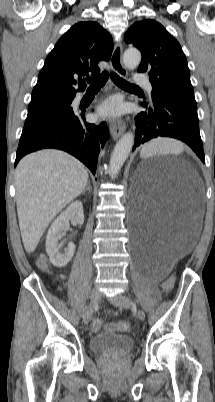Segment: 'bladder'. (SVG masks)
Instances as JSON below:
<instances>
[{
  "instance_id": "1",
  "label": "bladder",
  "mask_w": 215,
  "mask_h": 402,
  "mask_svg": "<svg viewBox=\"0 0 215 402\" xmlns=\"http://www.w3.org/2000/svg\"><path fill=\"white\" fill-rule=\"evenodd\" d=\"M90 349L100 355L122 356L130 353L134 348L131 337L113 332H103L90 339Z\"/></svg>"
}]
</instances>
